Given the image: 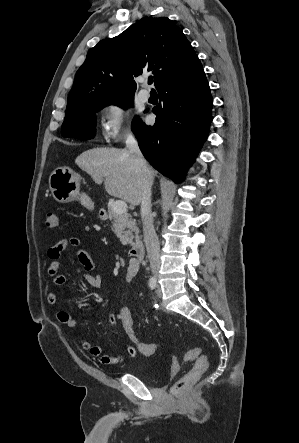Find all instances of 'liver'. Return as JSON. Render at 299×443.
I'll return each mask as SVG.
<instances>
[{
    "label": "liver",
    "instance_id": "obj_1",
    "mask_svg": "<svg viewBox=\"0 0 299 443\" xmlns=\"http://www.w3.org/2000/svg\"><path fill=\"white\" fill-rule=\"evenodd\" d=\"M75 163L95 181H104L106 192L132 205L141 202V185L134 157L127 149L92 148L82 152ZM149 167V166H148ZM152 178L155 170L149 167Z\"/></svg>",
    "mask_w": 299,
    "mask_h": 443
}]
</instances>
